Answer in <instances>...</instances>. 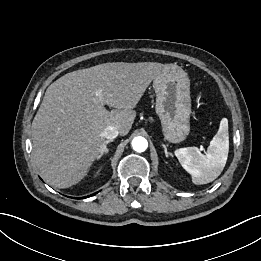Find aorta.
Wrapping results in <instances>:
<instances>
[{"label":"aorta","mask_w":261,"mask_h":261,"mask_svg":"<svg viewBox=\"0 0 261 261\" xmlns=\"http://www.w3.org/2000/svg\"><path fill=\"white\" fill-rule=\"evenodd\" d=\"M132 147L136 152H144L148 147V142L144 137L138 136L132 140Z\"/></svg>","instance_id":"1"}]
</instances>
